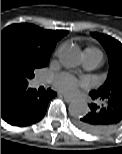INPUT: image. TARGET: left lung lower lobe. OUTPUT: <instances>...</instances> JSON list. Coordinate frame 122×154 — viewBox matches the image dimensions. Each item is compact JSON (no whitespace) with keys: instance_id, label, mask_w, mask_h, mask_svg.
<instances>
[{"instance_id":"obj_1","label":"left lung lower lobe","mask_w":122,"mask_h":154,"mask_svg":"<svg viewBox=\"0 0 122 154\" xmlns=\"http://www.w3.org/2000/svg\"><path fill=\"white\" fill-rule=\"evenodd\" d=\"M89 94L97 103L89 105L88 113L76 121V126L90 134L106 133L122 120V95Z\"/></svg>"}]
</instances>
